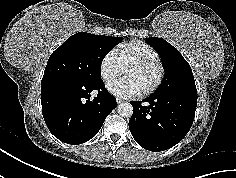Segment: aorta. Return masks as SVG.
Wrapping results in <instances>:
<instances>
[{"mask_svg": "<svg viewBox=\"0 0 236 178\" xmlns=\"http://www.w3.org/2000/svg\"><path fill=\"white\" fill-rule=\"evenodd\" d=\"M118 114L121 117L129 118L133 114V106L130 103H120L117 107Z\"/></svg>", "mask_w": 236, "mask_h": 178, "instance_id": "aorta-1", "label": "aorta"}]
</instances>
